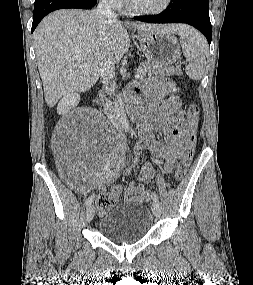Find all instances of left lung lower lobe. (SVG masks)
<instances>
[{
	"label": "left lung lower lobe",
	"mask_w": 253,
	"mask_h": 285,
	"mask_svg": "<svg viewBox=\"0 0 253 285\" xmlns=\"http://www.w3.org/2000/svg\"><path fill=\"white\" fill-rule=\"evenodd\" d=\"M163 13L152 16H135V20L149 23H187L201 31L210 45L212 26L209 17V0H172Z\"/></svg>",
	"instance_id": "obj_1"
}]
</instances>
